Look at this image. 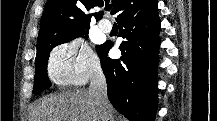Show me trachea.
Segmentation results:
<instances>
[{"instance_id":"1","label":"trachea","mask_w":217,"mask_h":121,"mask_svg":"<svg viewBox=\"0 0 217 121\" xmlns=\"http://www.w3.org/2000/svg\"><path fill=\"white\" fill-rule=\"evenodd\" d=\"M107 11H110V9H111V6H106V8H105Z\"/></svg>"}]
</instances>
